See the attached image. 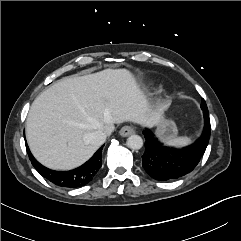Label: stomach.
Instances as JSON below:
<instances>
[{"mask_svg": "<svg viewBox=\"0 0 241 241\" xmlns=\"http://www.w3.org/2000/svg\"><path fill=\"white\" fill-rule=\"evenodd\" d=\"M156 135L163 141L170 140L177 135V127L172 120L162 117L157 124Z\"/></svg>", "mask_w": 241, "mask_h": 241, "instance_id": "1", "label": "stomach"}]
</instances>
